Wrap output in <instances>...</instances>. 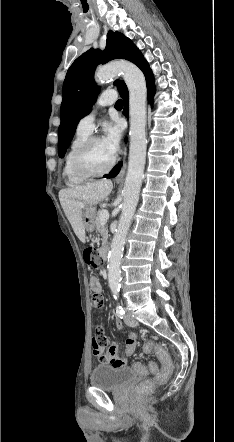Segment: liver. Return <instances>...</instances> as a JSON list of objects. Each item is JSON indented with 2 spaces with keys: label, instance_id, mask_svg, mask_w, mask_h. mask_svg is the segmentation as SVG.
Returning <instances> with one entry per match:
<instances>
[{
  "label": "liver",
  "instance_id": "1",
  "mask_svg": "<svg viewBox=\"0 0 234 442\" xmlns=\"http://www.w3.org/2000/svg\"><path fill=\"white\" fill-rule=\"evenodd\" d=\"M113 183L102 179L82 186L63 189L59 192V200L78 239L85 243L86 235L82 223L83 209L104 200L112 191Z\"/></svg>",
  "mask_w": 234,
  "mask_h": 442
}]
</instances>
